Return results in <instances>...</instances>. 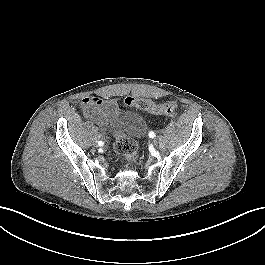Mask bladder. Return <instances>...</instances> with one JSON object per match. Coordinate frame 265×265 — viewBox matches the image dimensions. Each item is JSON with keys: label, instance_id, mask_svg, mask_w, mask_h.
Listing matches in <instances>:
<instances>
[{"label": "bladder", "instance_id": "obj_1", "mask_svg": "<svg viewBox=\"0 0 265 265\" xmlns=\"http://www.w3.org/2000/svg\"><path fill=\"white\" fill-rule=\"evenodd\" d=\"M110 127L114 136H125L136 140L145 135L147 124L145 119L135 112L113 111Z\"/></svg>", "mask_w": 265, "mask_h": 265}]
</instances>
